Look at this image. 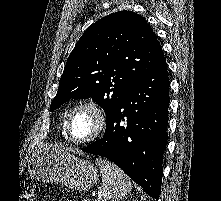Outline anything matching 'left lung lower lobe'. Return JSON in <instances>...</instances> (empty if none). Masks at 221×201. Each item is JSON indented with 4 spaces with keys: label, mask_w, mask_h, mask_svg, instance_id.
Here are the masks:
<instances>
[{
    "label": "left lung lower lobe",
    "mask_w": 221,
    "mask_h": 201,
    "mask_svg": "<svg viewBox=\"0 0 221 201\" xmlns=\"http://www.w3.org/2000/svg\"><path fill=\"white\" fill-rule=\"evenodd\" d=\"M169 85L164 59L115 108L104 137L82 149L114 162L156 200L167 143Z\"/></svg>",
    "instance_id": "0a47b994"
}]
</instances>
